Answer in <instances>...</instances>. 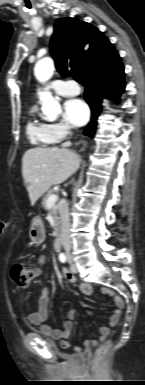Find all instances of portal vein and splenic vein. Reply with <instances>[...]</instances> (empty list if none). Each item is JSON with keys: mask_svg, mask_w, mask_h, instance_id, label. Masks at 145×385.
I'll return each mask as SVG.
<instances>
[{"mask_svg": "<svg viewBox=\"0 0 145 385\" xmlns=\"http://www.w3.org/2000/svg\"><path fill=\"white\" fill-rule=\"evenodd\" d=\"M57 199L58 197L56 194L50 195L49 198L47 199V207H52L57 201Z\"/></svg>", "mask_w": 145, "mask_h": 385, "instance_id": "18ae733b", "label": "portal vein and splenic vein"}]
</instances>
